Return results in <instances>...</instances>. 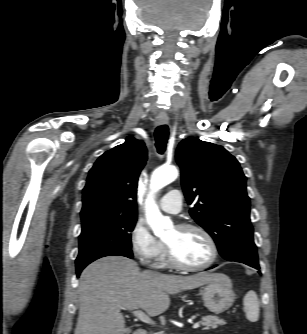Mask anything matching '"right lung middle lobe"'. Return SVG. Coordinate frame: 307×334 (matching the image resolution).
<instances>
[{
    "mask_svg": "<svg viewBox=\"0 0 307 334\" xmlns=\"http://www.w3.org/2000/svg\"><path fill=\"white\" fill-rule=\"evenodd\" d=\"M81 219L82 232L79 236L77 269H83L94 260L105 256L133 257L130 232L136 224V216L101 214Z\"/></svg>",
    "mask_w": 307,
    "mask_h": 334,
    "instance_id": "dd1d6c3e",
    "label": "right lung middle lobe"
}]
</instances>
